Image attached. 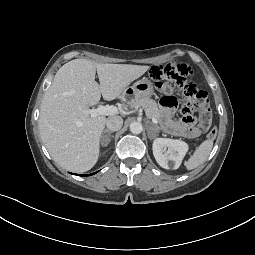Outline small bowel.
Returning <instances> with one entry per match:
<instances>
[{"label":"small bowel","mask_w":255,"mask_h":255,"mask_svg":"<svg viewBox=\"0 0 255 255\" xmlns=\"http://www.w3.org/2000/svg\"><path fill=\"white\" fill-rule=\"evenodd\" d=\"M160 103L164 125L169 133L185 138H195L199 135L192 115L184 114L180 120H174L173 115L176 101L173 97L167 96Z\"/></svg>","instance_id":"c3829d8e"}]
</instances>
